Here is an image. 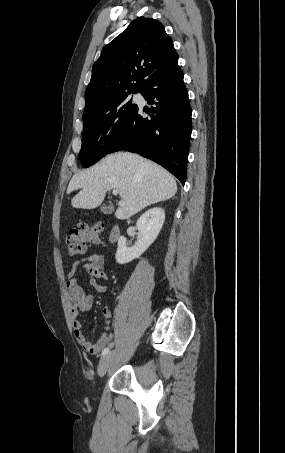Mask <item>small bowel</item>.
I'll list each match as a JSON object with an SVG mask.
<instances>
[{
	"instance_id": "obj_1",
	"label": "small bowel",
	"mask_w": 285,
	"mask_h": 453,
	"mask_svg": "<svg viewBox=\"0 0 285 453\" xmlns=\"http://www.w3.org/2000/svg\"><path fill=\"white\" fill-rule=\"evenodd\" d=\"M105 259L102 254L93 253L87 257L75 262L68 273L67 289L70 299V314L72 318V327L76 341L88 353L97 354L109 345L114 337V332L110 328L112 311L109 307L101 310V315L106 323L104 331L96 342H90L84 332L82 323L79 319L80 312H90L94 305V296L91 292H85L79 285L77 273L80 269L85 270L90 275L89 283L92 290L97 293H104L106 285L100 281L107 280V274L104 269Z\"/></svg>"
}]
</instances>
